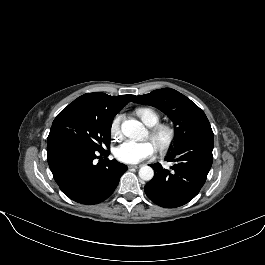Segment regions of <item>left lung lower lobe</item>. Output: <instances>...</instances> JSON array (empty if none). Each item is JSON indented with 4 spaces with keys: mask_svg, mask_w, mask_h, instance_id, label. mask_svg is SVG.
Segmentation results:
<instances>
[{
    "mask_svg": "<svg viewBox=\"0 0 265 265\" xmlns=\"http://www.w3.org/2000/svg\"><path fill=\"white\" fill-rule=\"evenodd\" d=\"M213 131L189 138L170 152L165 159L172 162L169 170L161 164H152L154 177L144 191L157 205L176 208L188 203L201 190L213 162Z\"/></svg>",
    "mask_w": 265,
    "mask_h": 265,
    "instance_id": "obj_1",
    "label": "left lung lower lobe"
}]
</instances>
